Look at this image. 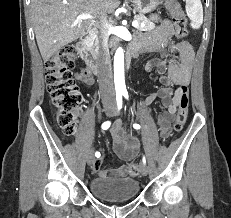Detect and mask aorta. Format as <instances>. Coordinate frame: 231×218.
I'll return each mask as SVG.
<instances>
[{
	"instance_id": "762f6f07",
	"label": "aorta",
	"mask_w": 231,
	"mask_h": 218,
	"mask_svg": "<svg viewBox=\"0 0 231 218\" xmlns=\"http://www.w3.org/2000/svg\"><path fill=\"white\" fill-rule=\"evenodd\" d=\"M114 82L117 91H124L125 78H124V51L119 47L114 56Z\"/></svg>"
}]
</instances>
